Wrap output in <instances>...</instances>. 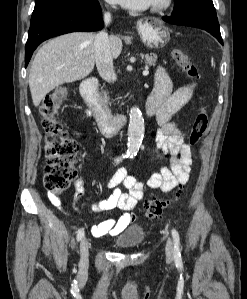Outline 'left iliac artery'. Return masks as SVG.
Instances as JSON below:
<instances>
[{
	"instance_id": "44dca946",
	"label": "left iliac artery",
	"mask_w": 247,
	"mask_h": 299,
	"mask_svg": "<svg viewBox=\"0 0 247 299\" xmlns=\"http://www.w3.org/2000/svg\"><path fill=\"white\" fill-rule=\"evenodd\" d=\"M172 237L174 241V258L178 266H182V258L180 252V237L176 229L172 230Z\"/></svg>"
}]
</instances>
